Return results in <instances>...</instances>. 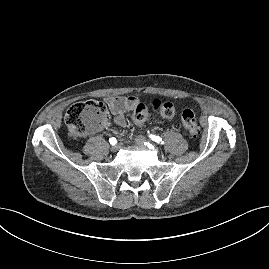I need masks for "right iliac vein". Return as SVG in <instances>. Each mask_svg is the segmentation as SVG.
<instances>
[{"label":"right iliac vein","mask_w":269,"mask_h":269,"mask_svg":"<svg viewBox=\"0 0 269 269\" xmlns=\"http://www.w3.org/2000/svg\"><path fill=\"white\" fill-rule=\"evenodd\" d=\"M123 147V144L121 142H118L116 145L111 146V151L112 152H117L118 149H121Z\"/></svg>","instance_id":"1"}]
</instances>
